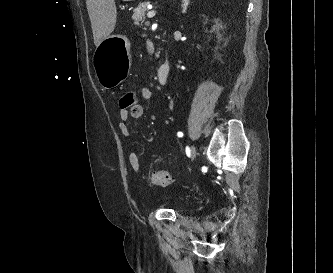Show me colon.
Segmentation results:
<instances>
[{"instance_id":"5ec220e1","label":"colon","mask_w":333,"mask_h":273,"mask_svg":"<svg viewBox=\"0 0 333 273\" xmlns=\"http://www.w3.org/2000/svg\"><path fill=\"white\" fill-rule=\"evenodd\" d=\"M136 103L137 97L134 91L124 92L119 100V105L122 109L131 108ZM147 180L152 185L168 186L172 182V176L168 170H155L148 174Z\"/></svg>"}]
</instances>
